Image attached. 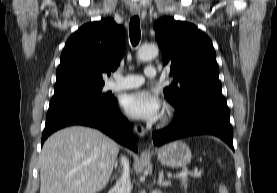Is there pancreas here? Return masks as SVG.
Here are the masks:
<instances>
[{"mask_svg":"<svg viewBox=\"0 0 277 193\" xmlns=\"http://www.w3.org/2000/svg\"><path fill=\"white\" fill-rule=\"evenodd\" d=\"M182 184L184 187L187 185V178H182Z\"/></svg>","mask_w":277,"mask_h":193,"instance_id":"cf45deb5","label":"pancreas"}]
</instances>
